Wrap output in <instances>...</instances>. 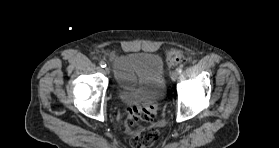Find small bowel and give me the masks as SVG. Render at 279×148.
<instances>
[{
  "label": "small bowel",
  "instance_id": "small-bowel-1",
  "mask_svg": "<svg viewBox=\"0 0 279 148\" xmlns=\"http://www.w3.org/2000/svg\"><path fill=\"white\" fill-rule=\"evenodd\" d=\"M116 75L119 81L126 85H132L135 81V75L126 66L122 59H115Z\"/></svg>",
  "mask_w": 279,
  "mask_h": 148
}]
</instances>
